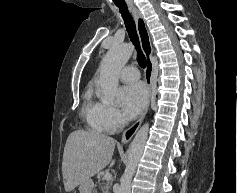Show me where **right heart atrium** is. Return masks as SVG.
Masks as SVG:
<instances>
[{"label": "right heart atrium", "mask_w": 237, "mask_h": 193, "mask_svg": "<svg viewBox=\"0 0 237 193\" xmlns=\"http://www.w3.org/2000/svg\"><path fill=\"white\" fill-rule=\"evenodd\" d=\"M102 117L107 132H113L119 129L124 123L121 112L109 105L103 104Z\"/></svg>", "instance_id": "d8ad5b80"}]
</instances>
